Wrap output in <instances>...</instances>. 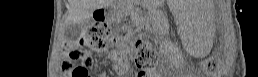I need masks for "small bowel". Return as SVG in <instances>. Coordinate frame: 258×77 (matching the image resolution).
Segmentation results:
<instances>
[{
	"label": "small bowel",
	"instance_id": "1",
	"mask_svg": "<svg viewBox=\"0 0 258 77\" xmlns=\"http://www.w3.org/2000/svg\"><path fill=\"white\" fill-rule=\"evenodd\" d=\"M118 54V53H117ZM86 58L88 59V60H90V55L89 54H86ZM120 63H118V62H116L115 64H114V67L116 68V70L117 69H119L120 68Z\"/></svg>",
	"mask_w": 258,
	"mask_h": 77
}]
</instances>
